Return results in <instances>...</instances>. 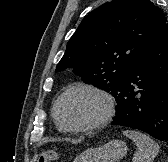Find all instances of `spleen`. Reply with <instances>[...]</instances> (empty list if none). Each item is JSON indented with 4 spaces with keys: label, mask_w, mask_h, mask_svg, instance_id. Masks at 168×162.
<instances>
[{
    "label": "spleen",
    "mask_w": 168,
    "mask_h": 162,
    "mask_svg": "<svg viewBox=\"0 0 168 162\" xmlns=\"http://www.w3.org/2000/svg\"><path fill=\"white\" fill-rule=\"evenodd\" d=\"M123 135L134 141L138 147L133 162H152L159 153V145L148 135L134 130L123 131Z\"/></svg>",
    "instance_id": "3e777b00"
}]
</instances>
